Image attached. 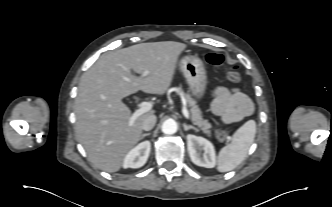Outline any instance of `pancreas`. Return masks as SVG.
Here are the masks:
<instances>
[{
  "mask_svg": "<svg viewBox=\"0 0 332 207\" xmlns=\"http://www.w3.org/2000/svg\"><path fill=\"white\" fill-rule=\"evenodd\" d=\"M189 107L191 113V119L195 125H197L208 137L211 136V124L202 118V113L199 107L196 105V101L191 98L189 94L183 93ZM227 136L225 131L219 132L216 131V137L218 140L222 141L224 137Z\"/></svg>",
  "mask_w": 332,
  "mask_h": 207,
  "instance_id": "obj_1",
  "label": "pancreas"
}]
</instances>
